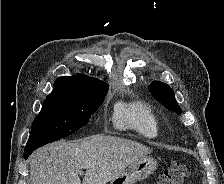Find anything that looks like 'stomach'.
<instances>
[{"label": "stomach", "instance_id": "obj_1", "mask_svg": "<svg viewBox=\"0 0 224 184\" xmlns=\"http://www.w3.org/2000/svg\"><path fill=\"white\" fill-rule=\"evenodd\" d=\"M157 162L151 157H144L131 163L118 177L110 181V184H135L149 177L156 169Z\"/></svg>", "mask_w": 224, "mask_h": 184}]
</instances>
